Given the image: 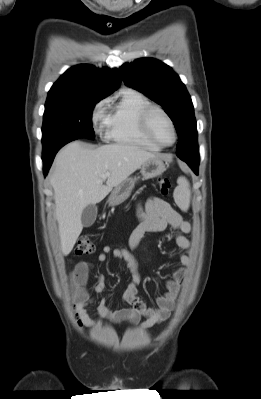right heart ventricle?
Returning <instances> with one entry per match:
<instances>
[{
    "label": "right heart ventricle",
    "instance_id": "e07e8e85",
    "mask_svg": "<svg viewBox=\"0 0 261 399\" xmlns=\"http://www.w3.org/2000/svg\"><path fill=\"white\" fill-rule=\"evenodd\" d=\"M149 105L151 102L139 91L123 89L107 113V139L148 150H159L160 148L150 142L140 129V113Z\"/></svg>",
    "mask_w": 261,
    "mask_h": 399
}]
</instances>
